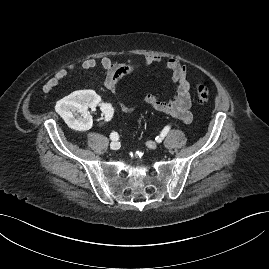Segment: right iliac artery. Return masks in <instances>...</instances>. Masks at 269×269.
<instances>
[{
	"mask_svg": "<svg viewBox=\"0 0 269 269\" xmlns=\"http://www.w3.org/2000/svg\"><path fill=\"white\" fill-rule=\"evenodd\" d=\"M110 139H111V140H114V141H117V140L119 139V135H118V133H117V132H112V133L110 134Z\"/></svg>",
	"mask_w": 269,
	"mask_h": 269,
	"instance_id": "obj_1",
	"label": "right iliac artery"
}]
</instances>
